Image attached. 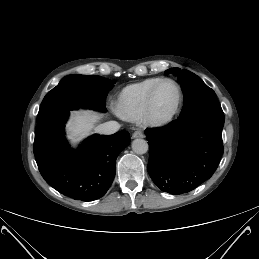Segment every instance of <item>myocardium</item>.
<instances>
[{
  "label": "myocardium",
  "instance_id": "obj_1",
  "mask_svg": "<svg viewBox=\"0 0 259 259\" xmlns=\"http://www.w3.org/2000/svg\"><path fill=\"white\" fill-rule=\"evenodd\" d=\"M165 82H169L171 84H173L176 88L177 91V101L175 104V107L173 108V110L166 114V115H161L158 114L155 110V96H156V92L158 90V88L160 87V85H162ZM182 100H183V93L181 90L180 85L173 79L171 78H162L160 79L151 89L148 98H147V103H146V107L143 113V119L144 121L151 125V126H164L168 123H170L179 113L181 105H182Z\"/></svg>",
  "mask_w": 259,
  "mask_h": 259
}]
</instances>
